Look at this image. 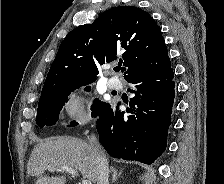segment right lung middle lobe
I'll use <instances>...</instances> for the list:
<instances>
[{
  "label": "right lung middle lobe",
  "instance_id": "1",
  "mask_svg": "<svg viewBox=\"0 0 224 184\" xmlns=\"http://www.w3.org/2000/svg\"><path fill=\"white\" fill-rule=\"evenodd\" d=\"M90 83L92 82L73 84L53 95L40 99L36 117L37 125L39 127H44L45 125H54L55 122L58 120V116L62 107L67 101L68 95L80 86H84ZM85 90L89 91L90 86H87ZM105 104L106 103L101 102L99 99H96L92 106V117H97L101 112L102 108L105 106ZM76 125L77 123L75 121L71 123V126Z\"/></svg>",
  "mask_w": 224,
  "mask_h": 184
}]
</instances>
